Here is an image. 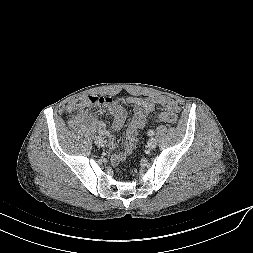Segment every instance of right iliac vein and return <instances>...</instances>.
Returning a JSON list of instances; mask_svg holds the SVG:
<instances>
[{
	"mask_svg": "<svg viewBox=\"0 0 253 253\" xmlns=\"http://www.w3.org/2000/svg\"><path fill=\"white\" fill-rule=\"evenodd\" d=\"M95 144L99 147H104L105 145V140L101 136H97L95 138Z\"/></svg>",
	"mask_w": 253,
	"mask_h": 253,
	"instance_id": "63e3f726",
	"label": "right iliac vein"
}]
</instances>
